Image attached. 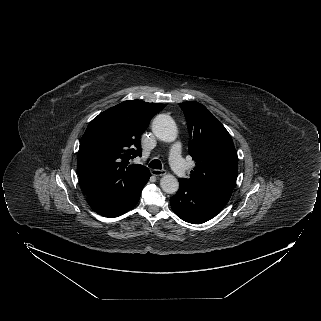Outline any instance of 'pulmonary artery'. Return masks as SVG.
<instances>
[{
    "label": "pulmonary artery",
    "instance_id": "1",
    "mask_svg": "<svg viewBox=\"0 0 321 321\" xmlns=\"http://www.w3.org/2000/svg\"><path fill=\"white\" fill-rule=\"evenodd\" d=\"M170 165L178 176L185 175V163L181 157V145L176 143L170 152Z\"/></svg>",
    "mask_w": 321,
    "mask_h": 321
}]
</instances>
